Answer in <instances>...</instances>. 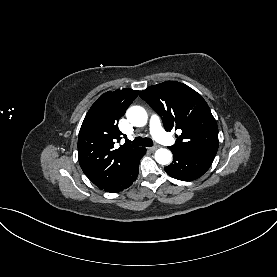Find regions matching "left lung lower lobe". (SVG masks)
Returning a JSON list of instances; mask_svg holds the SVG:
<instances>
[{
    "instance_id": "0a47b994",
    "label": "left lung lower lobe",
    "mask_w": 277,
    "mask_h": 277,
    "mask_svg": "<svg viewBox=\"0 0 277 277\" xmlns=\"http://www.w3.org/2000/svg\"><path fill=\"white\" fill-rule=\"evenodd\" d=\"M173 163L165 171L173 178L192 181L201 177L211 166L216 152L172 150Z\"/></svg>"
}]
</instances>
